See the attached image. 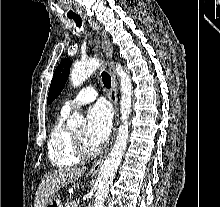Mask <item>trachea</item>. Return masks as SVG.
I'll return each mask as SVG.
<instances>
[{"instance_id": "obj_1", "label": "trachea", "mask_w": 220, "mask_h": 207, "mask_svg": "<svg viewBox=\"0 0 220 207\" xmlns=\"http://www.w3.org/2000/svg\"><path fill=\"white\" fill-rule=\"evenodd\" d=\"M72 19L75 21L77 27L80 28V26L82 24L81 17L76 16V17H73ZM101 77H102V82H103L104 86L106 88H110L111 87V76L106 71H103L101 73Z\"/></svg>"}]
</instances>
